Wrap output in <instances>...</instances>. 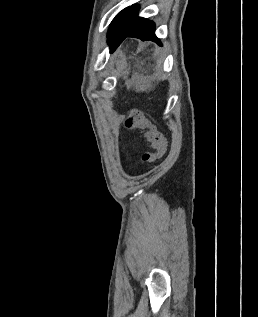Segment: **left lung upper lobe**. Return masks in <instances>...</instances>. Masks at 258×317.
Segmentation results:
<instances>
[{
	"mask_svg": "<svg viewBox=\"0 0 258 317\" xmlns=\"http://www.w3.org/2000/svg\"><path fill=\"white\" fill-rule=\"evenodd\" d=\"M129 9L130 7H127L117 14L110 25V29H122L126 25L129 17Z\"/></svg>",
	"mask_w": 258,
	"mask_h": 317,
	"instance_id": "obj_1",
	"label": "left lung upper lobe"
}]
</instances>
